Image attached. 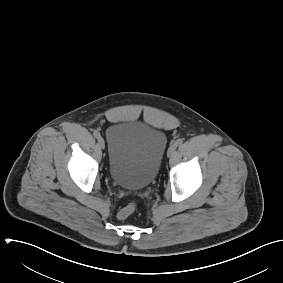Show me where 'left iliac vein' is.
I'll return each instance as SVG.
<instances>
[{
  "instance_id": "1",
  "label": "left iliac vein",
  "mask_w": 283,
  "mask_h": 283,
  "mask_svg": "<svg viewBox=\"0 0 283 283\" xmlns=\"http://www.w3.org/2000/svg\"><path fill=\"white\" fill-rule=\"evenodd\" d=\"M176 147H177V145L175 143H172L170 145V147L168 148V151H167L168 157H171L175 153Z\"/></svg>"
}]
</instances>
